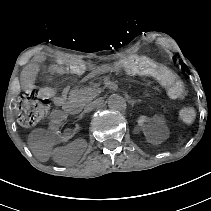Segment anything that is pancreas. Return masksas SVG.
Listing matches in <instances>:
<instances>
[{"label": "pancreas", "instance_id": "pancreas-1", "mask_svg": "<svg viewBox=\"0 0 211 211\" xmlns=\"http://www.w3.org/2000/svg\"><path fill=\"white\" fill-rule=\"evenodd\" d=\"M101 89L97 85H92L88 88L74 89L70 92L68 106L72 112H77L83 105L89 103L94 98L99 97Z\"/></svg>", "mask_w": 211, "mask_h": 211}]
</instances>
